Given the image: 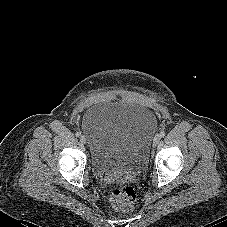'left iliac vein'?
Instances as JSON below:
<instances>
[{
  "instance_id": "1",
  "label": "left iliac vein",
  "mask_w": 227,
  "mask_h": 227,
  "mask_svg": "<svg viewBox=\"0 0 227 227\" xmlns=\"http://www.w3.org/2000/svg\"><path fill=\"white\" fill-rule=\"evenodd\" d=\"M160 140H161V136L157 134L153 139V145L157 146L160 143Z\"/></svg>"
}]
</instances>
